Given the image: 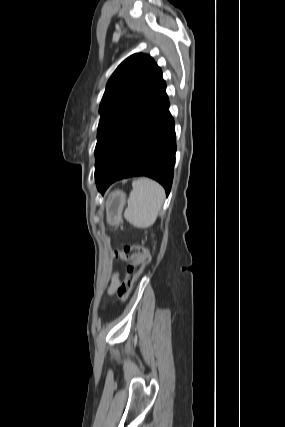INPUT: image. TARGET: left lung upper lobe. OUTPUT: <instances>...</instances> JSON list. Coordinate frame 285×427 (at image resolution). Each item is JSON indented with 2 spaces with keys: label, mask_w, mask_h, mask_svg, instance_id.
Masks as SVG:
<instances>
[{
  "label": "left lung upper lobe",
  "mask_w": 285,
  "mask_h": 427,
  "mask_svg": "<svg viewBox=\"0 0 285 427\" xmlns=\"http://www.w3.org/2000/svg\"><path fill=\"white\" fill-rule=\"evenodd\" d=\"M160 67L149 56L133 54L110 77L100 104L96 161L120 139L162 87Z\"/></svg>",
  "instance_id": "5c2ea615"
}]
</instances>
